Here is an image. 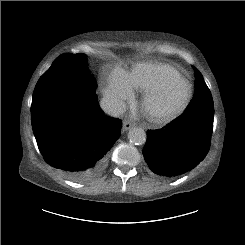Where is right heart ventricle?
I'll return each mask as SVG.
<instances>
[{"label": "right heart ventricle", "instance_id": "e07e8e85", "mask_svg": "<svg viewBox=\"0 0 245 245\" xmlns=\"http://www.w3.org/2000/svg\"><path fill=\"white\" fill-rule=\"evenodd\" d=\"M178 71L165 64L140 63L128 74L131 87L146 91L167 83Z\"/></svg>", "mask_w": 245, "mask_h": 245}]
</instances>
